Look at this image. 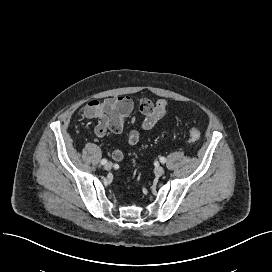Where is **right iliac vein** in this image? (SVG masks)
<instances>
[{"mask_svg":"<svg viewBox=\"0 0 272 272\" xmlns=\"http://www.w3.org/2000/svg\"><path fill=\"white\" fill-rule=\"evenodd\" d=\"M112 168V163L111 162H107L105 165H104V169L105 170H110Z\"/></svg>","mask_w":272,"mask_h":272,"instance_id":"right-iliac-vein-1","label":"right iliac vein"}]
</instances>
